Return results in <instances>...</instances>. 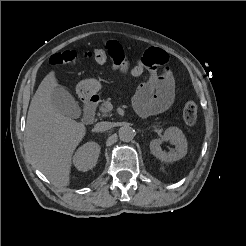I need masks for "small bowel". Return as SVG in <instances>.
Masks as SVG:
<instances>
[{"instance_id":"small-bowel-1","label":"small bowel","mask_w":246,"mask_h":246,"mask_svg":"<svg viewBox=\"0 0 246 246\" xmlns=\"http://www.w3.org/2000/svg\"><path fill=\"white\" fill-rule=\"evenodd\" d=\"M108 45L119 47L116 41H109ZM168 62V55L159 48L147 50L138 60L137 64L129 69L123 59L114 63V69L122 73L130 72L135 77L143 76V82L138 87L133 106L136 112L143 117L155 115L166 111L175 99V84L171 72L167 69L161 75L157 74V67Z\"/></svg>"}]
</instances>
